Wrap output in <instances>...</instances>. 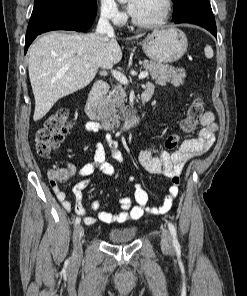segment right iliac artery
Wrapping results in <instances>:
<instances>
[{"label": "right iliac artery", "instance_id": "82829eb1", "mask_svg": "<svg viewBox=\"0 0 247 296\" xmlns=\"http://www.w3.org/2000/svg\"><path fill=\"white\" fill-rule=\"evenodd\" d=\"M81 219L79 217L76 218L75 220V225H78L80 223Z\"/></svg>", "mask_w": 247, "mask_h": 296}]
</instances>
